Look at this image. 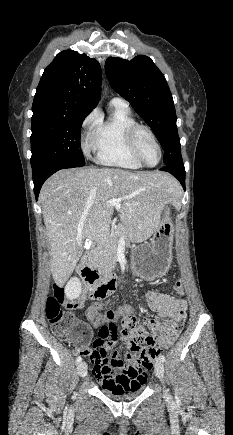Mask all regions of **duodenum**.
Segmentation results:
<instances>
[{
    "instance_id": "1",
    "label": "duodenum",
    "mask_w": 233,
    "mask_h": 435,
    "mask_svg": "<svg viewBox=\"0 0 233 435\" xmlns=\"http://www.w3.org/2000/svg\"><path fill=\"white\" fill-rule=\"evenodd\" d=\"M102 245L103 242L100 241L92 250L87 251L83 255L81 264L79 266V272L81 275L92 277V282L87 283V289L89 291L90 298L94 300H101L107 297L110 283L113 280L112 275H106L105 277L101 278L99 270L92 266L94 252L97 251Z\"/></svg>"
}]
</instances>
